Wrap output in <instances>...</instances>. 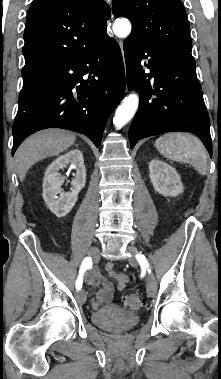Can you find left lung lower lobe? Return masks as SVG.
<instances>
[{"instance_id": "1", "label": "left lung lower lobe", "mask_w": 221, "mask_h": 379, "mask_svg": "<svg viewBox=\"0 0 221 379\" xmlns=\"http://www.w3.org/2000/svg\"><path fill=\"white\" fill-rule=\"evenodd\" d=\"M124 54L128 88L140 93L129 130L131 148L142 138L186 131L198 136L212 156L209 116L195 62L170 56L133 34L124 42Z\"/></svg>"}]
</instances>
